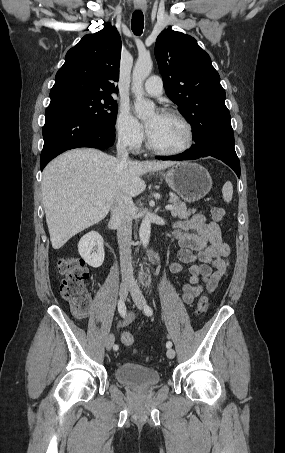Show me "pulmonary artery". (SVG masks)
Here are the masks:
<instances>
[{"mask_svg":"<svg viewBox=\"0 0 285 453\" xmlns=\"http://www.w3.org/2000/svg\"><path fill=\"white\" fill-rule=\"evenodd\" d=\"M142 92L150 97H158L163 92L162 79L159 76L149 77L143 85Z\"/></svg>","mask_w":285,"mask_h":453,"instance_id":"obj_1","label":"pulmonary artery"}]
</instances>
